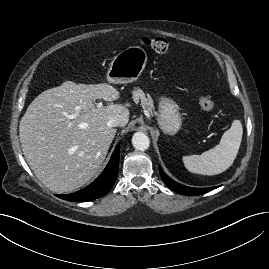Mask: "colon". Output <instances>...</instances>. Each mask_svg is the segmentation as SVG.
I'll use <instances>...</instances> for the list:
<instances>
[{"label": "colon", "instance_id": "colon-1", "mask_svg": "<svg viewBox=\"0 0 269 269\" xmlns=\"http://www.w3.org/2000/svg\"><path fill=\"white\" fill-rule=\"evenodd\" d=\"M141 42L144 46L150 48L156 53H166L169 50V42L162 37H143ZM200 106L206 111H213L215 104L213 100L207 96L203 95L199 98Z\"/></svg>", "mask_w": 269, "mask_h": 269}]
</instances>
